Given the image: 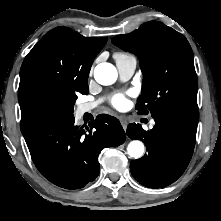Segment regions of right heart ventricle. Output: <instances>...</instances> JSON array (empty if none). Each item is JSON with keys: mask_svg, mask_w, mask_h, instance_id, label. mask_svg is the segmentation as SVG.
Here are the masks:
<instances>
[{"mask_svg": "<svg viewBox=\"0 0 221 221\" xmlns=\"http://www.w3.org/2000/svg\"><path fill=\"white\" fill-rule=\"evenodd\" d=\"M126 56H129V55L123 54V53H117V54H115V58H121V57H126Z\"/></svg>", "mask_w": 221, "mask_h": 221, "instance_id": "obj_1", "label": "right heart ventricle"}]
</instances>
